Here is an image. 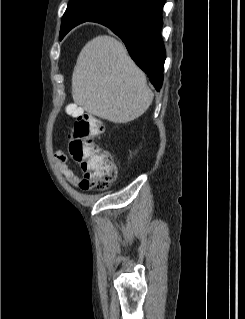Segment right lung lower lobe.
I'll list each match as a JSON object with an SVG mask.
<instances>
[{"instance_id": "98d812e1", "label": "right lung lower lobe", "mask_w": 245, "mask_h": 319, "mask_svg": "<svg viewBox=\"0 0 245 319\" xmlns=\"http://www.w3.org/2000/svg\"><path fill=\"white\" fill-rule=\"evenodd\" d=\"M166 0H128L90 21L109 27L125 43L136 64L157 91L163 83L166 58L161 38L162 8Z\"/></svg>"}]
</instances>
